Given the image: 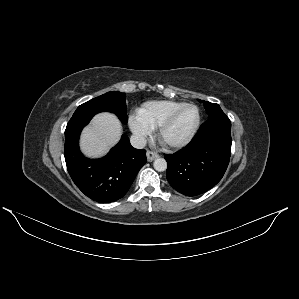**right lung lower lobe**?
Returning <instances> with one entry per match:
<instances>
[{
	"mask_svg": "<svg viewBox=\"0 0 299 299\" xmlns=\"http://www.w3.org/2000/svg\"><path fill=\"white\" fill-rule=\"evenodd\" d=\"M93 116L72 117L65 130L64 156L76 186L89 198L109 203L123 197L146 163V151L131 146L123 135L120 142L100 159H88L79 150V136Z\"/></svg>",
	"mask_w": 299,
	"mask_h": 299,
	"instance_id": "right-lung-lower-lobe-1",
	"label": "right lung lower lobe"
}]
</instances>
